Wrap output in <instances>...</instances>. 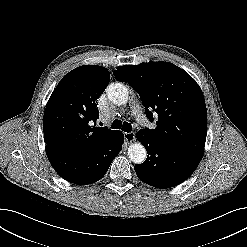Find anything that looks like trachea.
<instances>
[{"label":"trachea","mask_w":247,"mask_h":247,"mask_svg":"<svg viewBox=\"0 0 247 247\" xmlns=\"http://www.w3.org/2000/svg\"><path fill=\"white\" fill-rule=\"evenodd\" d=\"M111 128L112 129H121L124 132H130L132 130V126L130 123L122 122L118 119L113 121Z\"/></svg>","instance_id":"3493384b"}]
</instances>
